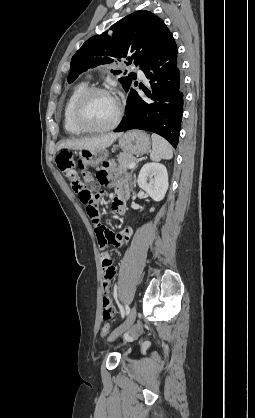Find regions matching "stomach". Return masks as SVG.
Masks as SVG:
<instances>
[{
    "mask_svg": "<svg viewBox=\"0 0 255 418\" xmlns=\"http://www.w3.org/2000/svg\"><path fill=\"white\" fill-rule=\"evenodd\" d=\"M119 147L129 155H142L148 153L151 141L147 133L143 131H129L119 137ZM80 157L85 166L97 167L108 157L106 150L81 151Z\"/></svg>",
    "mask_w": 255,
    "mask_h": 418,
    "instance_id": "0dacf381",
    "label": "stomach"
}]
</instances>
